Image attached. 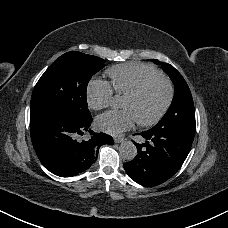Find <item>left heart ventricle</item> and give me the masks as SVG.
Masks as SVG:
<instances>
[{
	"instance_id": "b2bd125f",
	"label": "left heart ventricle",
	"mask_w": 228,
	"mask_h": 228,
	"mask_svg": "<svg viewBox=\"0 0 228 228\" xmlns=\"http://www.w3.org/2000/svg\"><path fill=\"white\" fill-rule=\"evenodd\" d=\"M166 96V87L163 83H157L151 90L138 98H126L123 106L130 110L140 121L152 118L160 109Z\"/></svg>"
}]
</instances>
